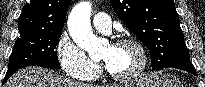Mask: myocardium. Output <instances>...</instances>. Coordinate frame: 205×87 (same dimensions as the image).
<instances>
[{
  "instance_id": "obj_1",
  "label": "myocardium",
  "mask_w": 205,
  "mask_h": 87,
  "mask_svg": "<svg viewBox=\"0 0 205 87\" xmlns=\"http://www.w3.org/2000/svg\"><path fill=\"white\" fill-rule=\"evenodd\" d=\"M113 46H132L134 47L139 53L140 63L136 67V69H134L132 72L125 74V75L115 74L109 71L107 68H105V74L112 80L117 81V82H122V83L129 82V81H132L138 78L144 72L148 64V54H147V51L144 45L140 41L134 38H121L115 41L113 43Z\"/></svg>"
}]
</instances>
